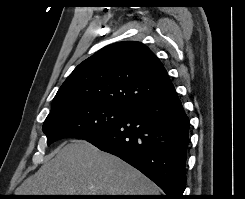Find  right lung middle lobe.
Here are the masks:
<instances>
[{"label": "right lung middle lobe", "mask_w": 245, "mask_h": 199, "mask_svg": "<svg viewBox=\"0 0 245 199\" xmlns=\"http://www.w3.org/2000/svg\"><path fill=\"white\" fill-rule=\"evenodd\" d=\"M129 110L97 103H83L49 113L43 131L47 144L74 137L88 139L118 123Z\"/></svg>", "instance_id": "dd1d6c3e"}]
</instances>
